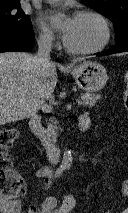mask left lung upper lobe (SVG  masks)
<instances>
[{"label":"left lung upper lobe","instance_id":"5c2ea615","mask_svg":"<svg viewBox=\"0 0 128 213\" xmlns=\"http://www.w3.org/2000/svg\"><path fill=\"white\" fill-rule=\"evenodd\" d=\"M113 22L116 43L128 38V0H82Z\"/></svg>","mask_w":128,"mask_h":213}]
</instances>
